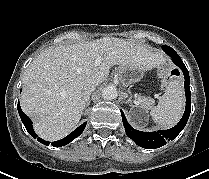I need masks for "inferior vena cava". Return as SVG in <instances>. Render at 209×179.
I'll use <instances>...</instances> for the list:
<instances>
[{
  "label": "inferior vena cava",
  "instance_id": "1",
  "mask_svg": "<svg viewBox=\"0 0 209 179\" xmlns=\"http://www.w3.org/2000/svg\"><path fill=\"white\" fill-rule=\"evenodd\" d=\"M96 85L92 84L90 86H88L85 90V100L87 101L88 97L90 96L91 92H93L95 90Z\"/></svg>",
  "mask_w": 209,
  "mask_h": 179
}]
</instances>
